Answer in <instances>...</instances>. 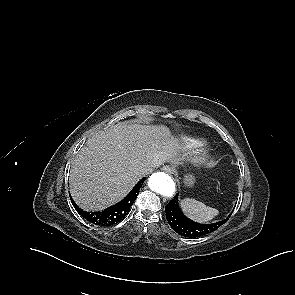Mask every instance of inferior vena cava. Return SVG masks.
I'll return each mask as SVG.
<instances>
[{
	"label": "inferior vena cava",
	"mask_w": 295,
	"mask_h": 295,
	"mask_svg": "<svg viewBox=\"0 0 295 295\" xmlns=\"http://www.w3.org/2000/svg\"><path fill=\"white\" fill-rule=\"evenodd\" d=\"M152 171H153V167H149V168L143 169V170L141 171V173H142L143 175H146V174H149V173L152 172Z\"/></svg>",
	"instance_id": "602c4592"
}]
</instances>
